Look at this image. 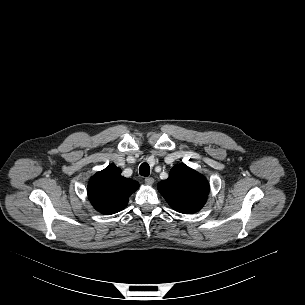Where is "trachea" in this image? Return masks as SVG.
<instances>
[{
    "label": "trachea",
    "mask_w": 305,
    "mask_h": 305,
    "mask_svg": "<svg viewBox=\"0 0 305 305\" xmlns=\"http://www.w3.org/2000/svg\"><path fill=\"white\" fill-rule=\"evenodd\" d=\"M139 173L141 176H149L150 174V166L147 163H142L139 167Z\"/></svg>",
    "instance_id": "1"
}]
</instances>
